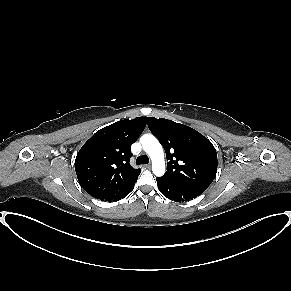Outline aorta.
<instances>
[{
    "label": "aorta",
    "instance_id": "762f6f07",
    "mask_svg": "<svg viewBox=\"0 0 291 291\" xmlns=\"http://www.w3.org/2000/svg\"><path fill=\"white\" fill-rule=\"evenodd\" d=\"M140 142L143 150L152 160V171L156 176H162L165 173V161L163 148L159 141L150 134L141 136Z\"/></svg>",
    "mask_w": 291,
    "mask_h": 291
}]
</instances>
